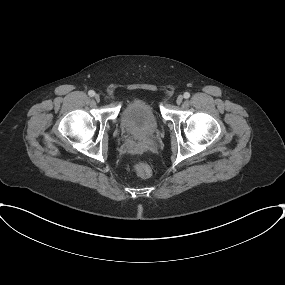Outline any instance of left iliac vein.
Instances as JSON below:
<instances>
[{
  "label": "left iliac vein",
  "mask_w": 285,
  "mask_h": 285,
  "mask_svg": "<svg viewBox=\"0 0 285 285\" xmlns=\"http://www.w3.org/2000/svg\"><path fill=\"white\" fill-rule=\"evenodd\" d=\"M182 101H183V96H182V95H179V96L177 97V99H176V103H177L178 105H180V104L182 103Z\"/></svg>",
  "instance_id": "left-iliac-vein-1"
}]
</instances>
